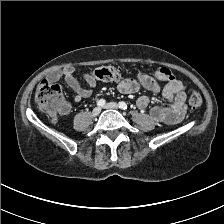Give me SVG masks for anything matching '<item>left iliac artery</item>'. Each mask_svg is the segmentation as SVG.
Wrapping results in <instances>:
<instances>
[{
	"label": "left iliac artery",
	"instance_id": "left-iliac-artery-1",
	"mask_svg": "<svg viewBox=\"0 0 224 224\" xmlns=\"http://www.w3.org/2000/svg\"><path fill=\"white\" fill-rule=\"evenodd\" d=\"M118 106H119V108H121L123 110H126L127 107H128L127 104L125 102H123V101L119 102Z\"/></svg>",
	"mask_w": 224,
	"mask_h": 224
}]
</instances>
